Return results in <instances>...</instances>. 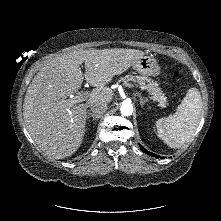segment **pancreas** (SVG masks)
Returning <instances> with one entry per match:
<instances>
[{"label":"pancreas","mask_w":221,"mask_h":221,"mask_svg":"<svg viewBox=\"0 0 221 221\" xmlns=\"http://www.w3.org/2000/svg\"><path fill=\"white\" fill-rule=\"evenodd\" d=\"M120 82H135L136 86L142 90H146L151 95L153 101L158 102V106L164 108L167 105V97L163 91L159 88V84L154 82L152 79L143 76L126 75L121 77Z\"/></svg>","instance_id":"pancreas-1"}]
</instances>
